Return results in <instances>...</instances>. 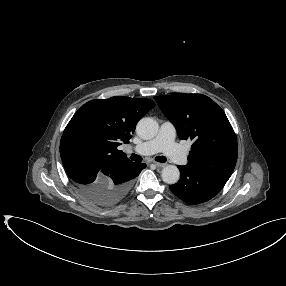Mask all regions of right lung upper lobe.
<instances>
[{
    "label": "right lung upper lobe",
    "mask_w": 286,
    "mask_h": 286,
    "mask_svg": "<svg viewBox=\"0 0 286 286\" xmlns=\"http://www.w3.org/2000/svg\"><path fill=\"white\" fill-rule=\"evenodd\" d=\"M154 107L150 99L115 96L92 100L78 109L62 137L80 140L102 166L130 163L118 146L129 143L137 122Z\"/></svg>",
    "instance_id": "obj_1"
}]
</instances>
